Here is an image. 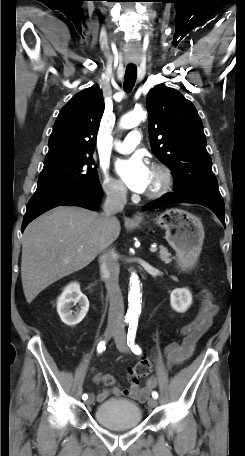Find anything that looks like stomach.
<instances>
[{
    "label": "stomach",
    "instance_id": "1",
    "mask_svg": "<svg viewBox=\"0 0 245 456\" xmlns=\"http://www.w3.org/2000/svg\"><path fill=\"white\" fill-rule=\"evenodd\" d=\"M142 220L137 223H142ZM155 223L165 229V238L176 251L179 266L191 269L195 266L202 250L204 227L195 215L181 210L168 209L161 213Z\"/></svg>",
    "mask_w": 245,
    "mask_h": 456
}]
</instances>
